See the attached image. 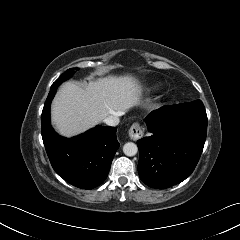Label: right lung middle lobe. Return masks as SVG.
<instances>
[{
  "label": "right lung middle lobe",
  "mask_w": 240,
  "mask_h": 240,
  "mask_svg": "<svg viewBox=\"0 0 240 240\" xmlns=\"http://www.w3.org/2000/svg\"><path fill=\"white\" fill-rule=\"evenodd\" d=\"M75 69L77 70L78 68H75ZM75 69H74V68H70V69H68L67 71H65V72L60 76V78L57 79V80L52 84L50 91L57 89V87H58L63 81H65V80H67L68 78H70V77L75 73Z\"/></svg>",
  "instance_id": "right-lung-middle-lobe-1"
}]
</instances>
